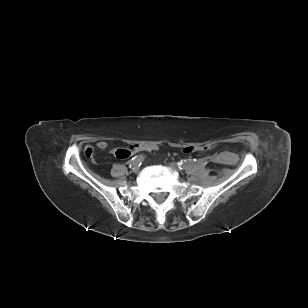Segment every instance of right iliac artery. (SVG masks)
<instances>
[{
  "mask_svg": "<svg viewBox=\"0 0 308 308\" xmlns=\"http://www.w3.org/2000/svg\"><path fill=\"white\" fill-rule=\"evenodd\" d=\"M143 160H144V157L142 155L133 157L131 159V161L129 162L130 168H134L136 166H140L142 164Z\"/></svg>",
  "mask_w": 308,
  "mask_h": 308,
  "instance_id": "obj_1",
  "label": "right iliac artery"
}]
</instances>
